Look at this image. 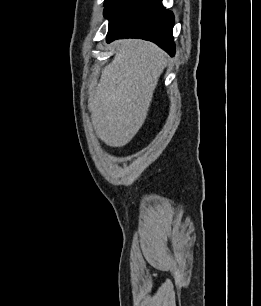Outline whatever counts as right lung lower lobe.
Listing matches in <instances>:
<instances>
[{"label": "right lung lower lobe", "mask_w": 261, "mask_h": 306, "mask_svg": "<svg viewBox=\"0 0 261 306\" xmlns=\"http://www.w3.org/2000/svg\"><path fill=\"white\" fill-rule=\"evenodd\" d=\"M104 12L109 19L107 42L141 38L156 43L174 56V15L163 7L162 0H112Z\"/></svg>", "instance_id": "1"}]
</instances>
